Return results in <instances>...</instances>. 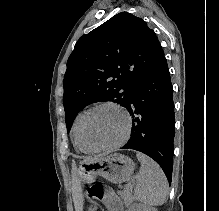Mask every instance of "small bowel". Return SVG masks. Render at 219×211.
I'll return each mask as SVG.
<instances>
[{
	"label": "small bowel",
	"mask_w": 219,
	"mask_h": 211,
	"mask_svg": "<svg viewBox=\"0 0 219 211\" xmlns=\"http://www.w3.org/2000/svg\"><path fill=\"white\" fill-rule=\"evenodd\" d=\"M106 206L108 211H122V205L112 190H103L95 194Z\"/></svg>",
	"instance_id": "c3829d8e"
}]
</instances>
